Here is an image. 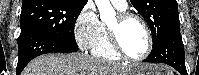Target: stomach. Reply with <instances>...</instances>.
I'll return each mask as SVG.
<instances>
[{"mask_svg":"<svg viewBox=\"0 0 199 75\" xmlns=\"http://www.w3.org/2000/svg\"><path fill=\"white\" fill-rule=\"evenodd\" d=\"M165 67L158 64H137L129 70L127 75H164Z\"/></svg>","mask_w":199,"mask_h":75,"instance_id":"1","label":"stomach"}]
</instances>
